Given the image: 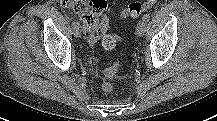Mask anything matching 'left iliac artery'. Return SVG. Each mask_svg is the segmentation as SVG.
Wrapping results in <instances>:
<instances>
[{"label":"left iliac artery","mask_w":217,"mask_h":121,"mask_svg":"<svg viewBox=\"0 0 217 121\" xmlns=\"http://www.w3.org/2000/svg\"><path fill=\"white\" fill-rule=\"evenodd\" d=\"M142 20L144 21V22H148L149 20H150V16L149 15H144L143 17H142Z\"/></svg>","instance_id":"obj_1"}]
</instances>
